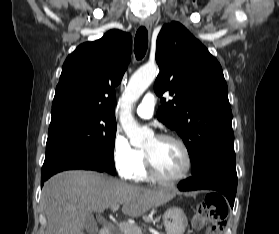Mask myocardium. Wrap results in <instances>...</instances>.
I'll list each match as a JSON object with an SVG mask.
<instances>
[{
	"instance_id": "f54148a6",
	"label": "myocardium",
	"mask_w": 279,
	"mask_h": 234,
	"mask_svg": "<svg viewBox=\"0 0 279 234\" xmlns=\"http://www.w3.org/2000/svg\"><path fill=\"white\" fill-rule=\"evenodd\" d=\"M155 138L158 141H172L175 144H177L184 155L185 167L179 176H177L176 178H173V179H167L158 173V171L155 167L152 155L147 150H144L145 164H146L148 177L150 179H152L153 181H155L159 184H162V185H166V186L178 185L179 183H181L188 177V175L192 169L193 161H192L191 153H190L188 147L186 146V144L177 136H174L171 134H160V135H157Z\"/></svg>"
}]
</instances>
